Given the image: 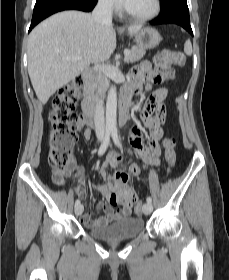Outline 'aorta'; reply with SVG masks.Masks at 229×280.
<instances>
[{
	"label": "aorta",
	"mask_w": 229,
	"mask_h": 280,
	"mask_svg": "<svg viewBox=\"0 0 229 280\" xmlns=\"http://www.w3.org/2000/svg\"><path fill=\"white\" fill-rule=\"evenodd\" d=\"M117 124V90L113 86L110 88L106 103V128L110 131H116Z\"/></svg>",
	"instance_id": "1"
}]
</instances>
